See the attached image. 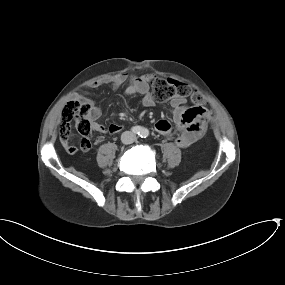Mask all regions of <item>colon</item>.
Returning a JSON list of instances; mask_svg holds the SVG:
<instances>
[{"label":"colon","mask_w":285,"mask_h":285,"mask_svg":"<svg viewBox=\"0 0 285 285\" xmlns=\"http://www.w3.org/2000/svg\"><path fill=\"white\" fill-rule=\"evenodd\" d=\"M152 94L159 101H167L176 97H190L196 107H203L205 99L200 93H191L190 87L176 80L155 77L151 81ZM91 104L86 99H72L63 109L60 136L62 141L67 139V129L74 122L80 135L89 139L92 134L90 120Z\"/></svg>","instance_id":"5ec220e1"}]
</instances>
